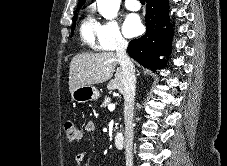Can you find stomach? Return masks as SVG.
<instances>
[{
    "label": "stomach",
    "instance_id": "0dacf381",
    "mask_svg": "<svg viewBox=\"0 0 227 166\" xmlns=\"http://www.w3.org/2000/svg\"><path fill=\"white\" fill-rule=\"evenodd\" d=\"M100 97L98 89L93 85L78 87L71 93V98L77 103L97 100Z\"/></svg>",
    "mask_w": 227,
    "mask_h": 166
}]
</instances>
